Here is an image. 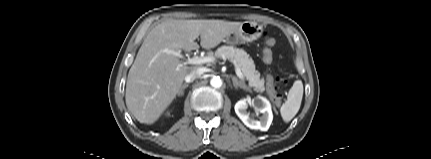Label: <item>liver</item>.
<instances>
[{
	"instance_id": "6515ba94",
	"label": "liver",
	"mask_w": 431,
	"mask_h": 159,
	"mask_svg": "<svg viewBox=\"0 0 431 159\" xmlns=\"http://www.w3.org/2000/svg\"><path fill=\"white\" fill-rule=\"evenodd\" d=\"M240 25L214 19H169L155 26L128 73L125 101L129 112L140 123L153 124L179 94L185 76L197 68L187 66L166 50H196L199 36L202 48H214Z\"/></svg>"
}]
</instances>
